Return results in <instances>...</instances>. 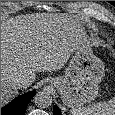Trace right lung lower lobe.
Segmentation results:
<instances>
[{
  "mask_svg": "<svg viewBox=\"0 0 115 115\" xmlns=\"http://www.w3.org/2000/svg\"><path fill=\"white\" fill-rule=\"evenodd\" d=\"M34 95L35 91L18 96L7 106L1 108V115H24L26 106Z\"/></svg>",
  "mask_w": 115,
  "mask_h": 115,
  "instance_id": "obj_1",
  "label": "right lung lower lobe"
}]
</instances>
